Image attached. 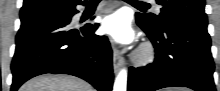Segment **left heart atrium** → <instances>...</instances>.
I'll use <instances>...</instances> for the list:
<instances>
[{
	"label": "left heart atrium",
	"mask_w": 220,
	"mask_h": 91,
	"mask_svg": "<svg viewBox=\"0 0 220 91\" xmlns=\"http://www.w3.org/2000/svg\"><path fill=\"white\" fill-rule=\"evenodd\" d=\"M102 29L119 44H130L136 38L130 18L124 11H117L106 16L102 21Z\"/></svg>",
	"instance_id": "39dd6f15"
}]
</instances>
